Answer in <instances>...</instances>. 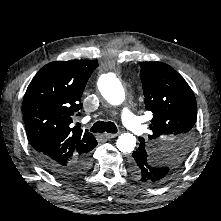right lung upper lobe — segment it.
Here are the masks:
<instances>
[{"instance_id":"right-lung-upper-lobe-1","label":"right lung upper lobe","mask_w":221,"mask_h":221,"mask_svg":"<svg viewBox=\"0 0 221 221\" xmlns=\"http://www.w3.org/2000/svg\"><path fill=\"white\" fill-rule=\"evenodd\" d=\"M97 67L94 60L51 62L32 79L23 100V119L36 155L71 163L89 155L97 145L88 130L71 125L72 116L82 107L85 85Z\"/></svg>"}]
</instances>
